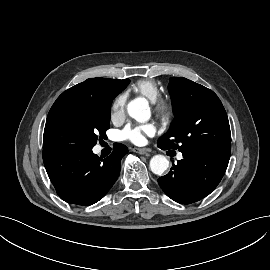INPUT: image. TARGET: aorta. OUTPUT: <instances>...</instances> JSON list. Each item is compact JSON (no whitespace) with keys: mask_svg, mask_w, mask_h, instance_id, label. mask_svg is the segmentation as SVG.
Returning <instances> with one entry per match:
<instances>
[{"mask_svg":"<svg viewBox=\"0 0 270 270\" xmlns=\"http://www.w3.org/2000/svg\"><path fill=\"white\" fill-rule=\"evenodd\" d=\"M128 114L138 122H146L150 118L148 101L136 98L127 106ZM169 167L168 159L163 155H155L150 160V169L156 175H162Z\"/></svg>","mask_w":270,"mask_h":270,"instance_id":"1","label":"aorta"}]
</instances>
